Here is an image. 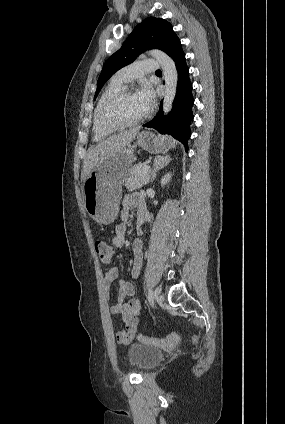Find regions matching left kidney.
<instances>
[{
    "mask_svg": "<svg viewBox=\"0 0 285 424\" xmlns=\"http://www.w3.org/2000/svg\"><path fill=\"white\" fill-rule=\"evenodd\" d=\"M171 176H172L171 173H167L166 175H164V177H162L161 179V186L166 185L170 181Z\"/></svg>",
    "mask_w": 285,
    "mask_h": 424,
    "instance_id": "1",
    "label": "left kidney"
}]
</instances>
